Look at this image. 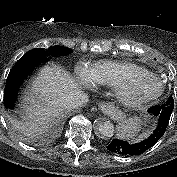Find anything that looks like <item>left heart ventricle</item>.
<instances>
[{
	"instance_id": "obj_1",
	"label": "left heart ventricle",
	"mask_w": 177,
	"mask_h": 177,
	"mask_svg": "<svg viewBox=\"0 0 177 177\" xmlns=\"http://www.w3.org/2000/svg\"><path fill=\"white\" fill-rule=\"evenodd\" d=\"M127 90L132 95L154 93L158 90V83L149 78H130L127 81Z\"/></svg>"
}]
</instances>
